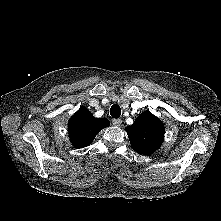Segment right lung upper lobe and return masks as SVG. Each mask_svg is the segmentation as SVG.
I'll return each instance as SVG.
<instances>
[{
    "mask_svg": "<svg viewBox=\"0 0 221 221\" xmlns=\"http://www.w3.org/2000/svg\"><path fill=\"white\" fill-rule=\"evenodd\" d=\"M109 124L108 119L95 118L88 109L81 107L68 122L70 141L75 148L88 146Z\"/></svg>",
    "mask_w": 221,
    "mask_h": 221,
    "instance_id": "cb5924a9",
    "label": "right lung upper lobe"
}]
</instances>
